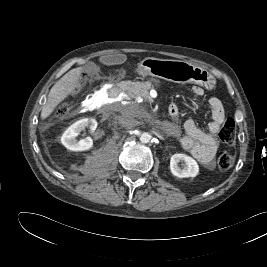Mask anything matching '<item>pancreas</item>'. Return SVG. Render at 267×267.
Wrapping results in <instances>:
<instances>
[{"instance_id":"1","label":"pancreas","mask_w":267,"mask_h":267,"mask_svg":"<svg viewBox=\"0 0 267 267\" xmlns=\"http://www.w3.org/2000/svg\"><path fill=\"white\" fill-rule=\"evenodd\" d=\"M153 89L151 80L142 82H132L128 91V95L131 98L143 97L146 100H151L149 90Z\"/></svg>"}]
</instances>
